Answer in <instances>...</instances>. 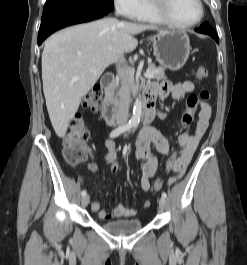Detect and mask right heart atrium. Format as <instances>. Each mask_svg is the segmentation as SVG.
Segmentation results:
<instances>
[{"label":"right heart atrium","instance_id":"obj_1","mask_svg":"<svg viewBox=\"0 0 247 265\" xmlns=\"http://www.w3.org/2000/svg\"><path fill=\"white\" fill-rule=\"evenodd\" d=\"M114 5L122 15L136 20L144 9V0H114Z\"/></svg>","mask_w":247,"mask_h":265}]
</instances>
